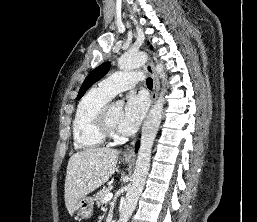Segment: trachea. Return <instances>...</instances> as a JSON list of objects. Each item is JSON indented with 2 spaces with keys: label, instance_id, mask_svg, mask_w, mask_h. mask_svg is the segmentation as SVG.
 <instances>
[{
  "label": "trachea",
  "instance_id": "obj_1",
  "mask_svg": "<svg viewBox=\"0 0 257 222\" xmlns=\"http://www.w3.org/2000/svg\"><path fill=\"white\" fill-rule=\"evenodd\" d=\"M146 85H147L148 88H152V86H153L152 78H147Z\"/></svg>",
  "mask_w": 257,
  "mask_h": 222
}]
</instances>
